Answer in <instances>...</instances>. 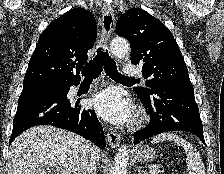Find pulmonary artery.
Here are the masks:
<instances>
[{"mask_svg": "<svg viewBox=\"0 0 224 174\" xmlns=\"http://www.w3.org/2000/svg\"><path fill=\"white\" fill-rule=\"evenodd\" d=\"M124 74L125 76H141L142 75V72H141V69L134 66V65H127L124 69Z\"/></svg>", "mask_w": 224, "mask_h": 174, "instance_id": "e3ab8cb5", "label": "pulmonary artery"}]
</instances>
